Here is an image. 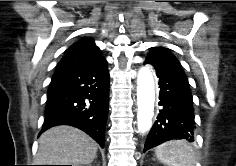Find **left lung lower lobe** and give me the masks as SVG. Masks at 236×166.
Wrapping results in <instances>:
<instances>
[{
  "instance_id": "left-lung-lower-lobe-1",
  "label": "left lung lower lobe",
  "mask_w": 236,
  "mask_h": 166,
  "mask_svg": "<svg viewBox=\"0 0 236 166\" xmlns=\"http://www.w3.org/2000/svg\"><path fill=\"white\" fill-rule=\"evenodd\" d=\"M159 78V114L144 145V152L172 139L194 141L193 97L179 61L171 55L146 58Z\"/></svg>"
}]
</instances>
